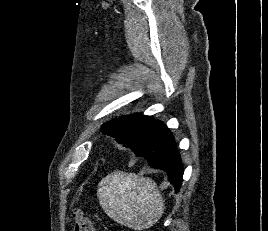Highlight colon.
<instances>
[{
    "mask_svg": "<svg viewBox=\"0 0 268 231\" xmlns=\"http://www.w3.org/2000/svg\"><path fill=\"white\" fill-rule=\"evenodd\" d=\"M74 231H94V226L91 220L85 216L80 210H75L73 213Z\"/></svg>",
    "mask_w": 268,
    "mask_h": 231,
    "instance_id": "colon-1",
    "label": "colon"
}]
</instances>
